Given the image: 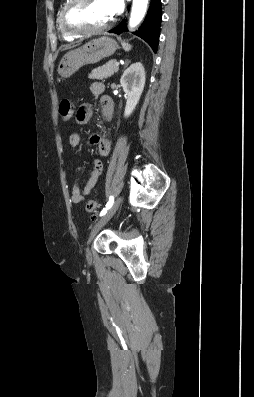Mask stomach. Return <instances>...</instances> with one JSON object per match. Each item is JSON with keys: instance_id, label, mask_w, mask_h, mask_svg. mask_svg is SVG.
I'll list each match as a JSON object with an SVG mask.
<instances>
[{"instance_id": "obj_1", "label": "stomach", "mask_w": 254, "mask_h": 397, "mask_svg": "<svg viewBox=\"0 0 254 397\" xmlns=\"http://www.w3.org/2000/svg\"><path fill=\"white\" fill-rule=\"evenodd\" d=\"M118 49L117 42L108 36L93 39L83 46L70 50L61 59L57 72L63 78H68L81 67L95 64L109 57Z\"/></svg>"}]
</instances>
